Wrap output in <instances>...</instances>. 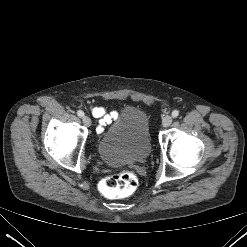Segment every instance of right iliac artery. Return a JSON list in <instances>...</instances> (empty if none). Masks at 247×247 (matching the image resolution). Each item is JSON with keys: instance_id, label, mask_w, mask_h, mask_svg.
Masks as SVG:
<instances>
[{"instance_id": "right-iliac-artery-1", "label": "right iliac artery", "mask_w": 247, "mask_h": 247, "mask_svg": "<svg viewBox=\"0 0 247 247\" xmlns=\"http://www.w3.org/2000/svg\"><path fill=\"white\" fill-rule=\"evenodd\" d=\"M77 115H78L79 117H83V116H84V112H83L82 110H78V111H77Z\"/></svg>"}]
</instances>
